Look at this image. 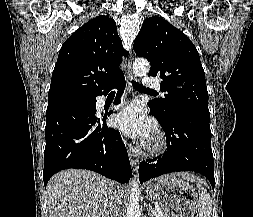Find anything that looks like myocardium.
<instances>
[{
    "mask_svg": "<svg viewBox=\"0 0 253 217\" xmlns=\"http://www.w3.org/2000/svg\"><path fill=\"white\" fill-rule=\"evenodd\" d=\"M165 139L162 134H156L148 144V150L152 153H160L165 149Z\"/></svg>",
    "mask_w": 253,
    "mask_h": 217,
    "instance_id": "myocardium-1",
    "label": "myocardium"
}]
</instances>
